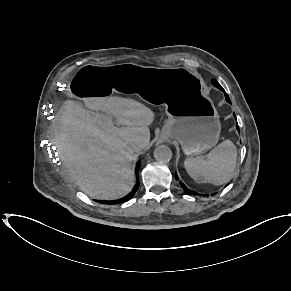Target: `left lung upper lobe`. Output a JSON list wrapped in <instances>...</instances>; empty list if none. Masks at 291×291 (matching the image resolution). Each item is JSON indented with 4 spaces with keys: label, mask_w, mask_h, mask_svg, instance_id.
<instances>
[{
    "label": "left lung upper lobe",
    "mask_w": 291,
    "mask_h": 291,
    "mask_svg": "<svg viewBox=\"0 0 291 291\" xmlns=\"http://www.w3.org/2000/svg\"><path fill=\"white\" fill-rule=\"evenodd\" d=\"M212 84L216 86L218 89H220L221 87V85L215 79H212Z\"/></svg>",
    "instance_id": "5c2ea615"
}]
</instances>
